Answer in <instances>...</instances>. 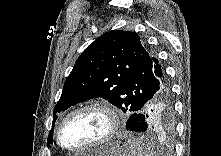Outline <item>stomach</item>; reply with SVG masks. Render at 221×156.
I'll return each instance as SVG.
<instances>
[{
	"instance_id": "stomach-1",
	"label": "stomach",
	"mask_w": 221,
	"mask_h": 156,
	"mask_svg": "<svg viewBox=\"0 0 221 156\" xmlns=\"http://www.w3.org/2000/svg\"><path fill=\"white\" fill-rule=\"evenodd\" d=\"M88 156H131V152L126 142L113 141L100 148L92 149Z\"/></svg>"
}]
</instances>
